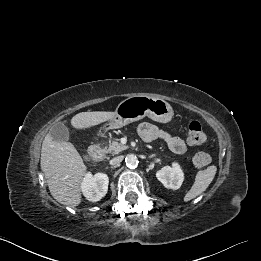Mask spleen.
<instances>
[{"instance_id":"spleen-1","label":"spleen","mask_w":261,"mask_h":261,"mask_svg":"<svg viewBox=\"0 0 261 261\" xmlns=\"http://www.w3.org/2000/svg\"><path fill=\"white\" fill-rule=\"evenodd\" d=\"M217 168L216 166H209L205 170L199 171L195 176L194 184L191 189L186 193L184 197V201L188 202L197 196H199L202 192H204L210 183L213 181Z\"/></svg>"}]
</instances>
